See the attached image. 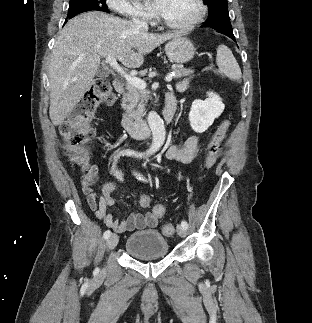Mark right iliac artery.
Instances as JSON below:
<instances>
[{
    "instance_id": "82829eb1",
    "label": "right iliac artery",
    "mask_w": 312,
    "mask_h": 323,
    "mask_svg": "<svg viewBox=\"0 0 312 323\" xmlns=\"http://www.w3.org/2000/svg\"><path fill=\"white\" fill-rule=\"evenodd\" d=\"M124 154H126V153H124V152H120V153L116 154V155L114 156V163H113V170H114V172H115V176H116L118 179H120L121 181H123V176H122V174H121V173H119L118 171H115V162L117 161V159H118L121 155H124ZM110 235H111V231H110V230H106V231L104 232L103 237H104L105 239H107L108 237H110Z\"/></svg>"
}]
</instances>
